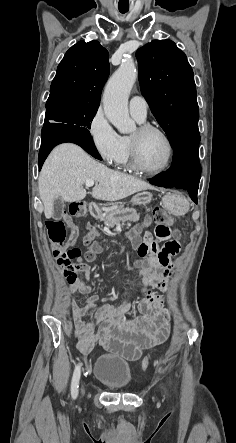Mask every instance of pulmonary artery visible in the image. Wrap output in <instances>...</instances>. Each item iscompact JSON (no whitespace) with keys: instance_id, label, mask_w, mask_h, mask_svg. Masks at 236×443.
<instances>
[{"instance_id":"e3ab8cb5","label":"pulmonary artery","mask_w":236,"mask_h":443,"mask_svg":"<svg viewBox=\"0 0 236 443\" xmlns=\"http://www.w3.org/2000/svg\"><path fill=\"white\" fill-rule=\"evenodd\" d=\"M147 101L139 95H134L129 101L130 114L138 121H144L147 116Z\"/></svg>"}]
</instances>
